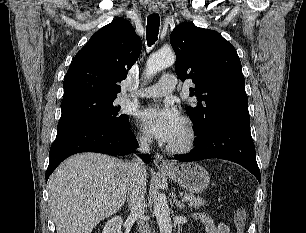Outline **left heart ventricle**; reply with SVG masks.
<instances>
[{
  "instance_id": "left-heart-ventricle-1",
  "label": "left heart ventricle",
  "mask_w": 306,
  "mask_h": 233,
  "mask_svg": "<svg viewBox=\"0 0 306 233\" xmlns=\"http://www.w3.org/2000/svg\"><path fill=\"white\" fill-rule=\"evenodd\" d=\"M185 137V126H183V128L181 129L180 133L178 134V136L171 142V144H177L179 142H181Z\"/></svg>"
}]
</instances>
